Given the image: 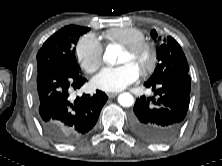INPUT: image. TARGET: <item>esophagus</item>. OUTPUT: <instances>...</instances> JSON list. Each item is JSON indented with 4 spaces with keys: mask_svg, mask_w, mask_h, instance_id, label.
I'll return each instance as SVG.
<instances>
[{
    "mask_svg": "<svg viewBox=\"0 0 222 166\" xmlns=\"http://www.w3.org/2000/svg\"><path fill=\"white\" fill-rule=\"evenodd\" d=\"M118 95V93H107V96L109 97V98H114L115 96H117Z\"/></svg>",
    "mask_w": 222,
    "mask_h": 166,
    "instance_id": "1",
    "label": "esophagus"
}]
</instances>
